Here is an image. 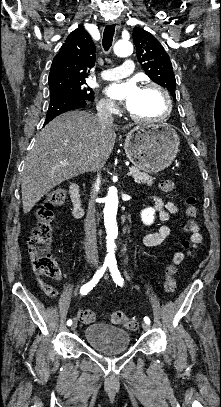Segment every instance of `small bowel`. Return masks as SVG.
I'll return each mask as SVG.
<instances>
[{
	"label": "small bowel",
	"instance_id": "small-bowel-1",
	"mask_svg": "<svg viewBox=\"0 0 221 407\" xmlns=\"http://www.w3.org/2000/svg\"><path fill=\"white\" fill-rule=\"evenodd\" d=\"M150 200L153 203V205H154V207H155V209L157 211V215H158L159 220L161 222H163V223L167 222L170 219L171 215L177 213V211H178V208H177V206L175 205V203L173 201L164 202L158 196H151ZM189 222L193 226V232H192V235H191V239H192L194 245H197L198 243L201 242L202 235L199 232L197 226L195 225V222L193 220H189ZM169 235H170V229L166 225H163L156 232L151 233V234L146 236L145 245L149 246V247L159 245ZM183 257H184L183 252H178L175 255V259H177V258H182L183 259ZM63 277H64V275L58 269L56 279L61 280ZM39 285H40V288L49 297L56 298L58 296V291L53 286H51L50 284L45 282L44 280L39 279Z\"/></svg>",
	"mask_w": 221,
	"mask_h": 407
}]
</instances>
